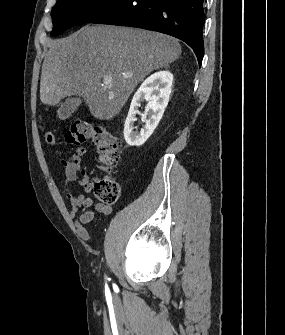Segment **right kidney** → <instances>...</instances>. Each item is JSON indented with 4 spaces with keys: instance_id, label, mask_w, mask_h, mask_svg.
<instances>
[{
    "instance_id": "obj_1",
    "label": "right kidney",
    "mask_w": 285,
    "mask_h": 335,
    "mask_svg": "<svg viewBox=\"0 0 285 335\" xmlns=\"http://www.w3.org/2000/svg\"><path fill=\"white\" fill-rule=\"evenodd\" d=\"M173 74L171 72H156L144 80L139 90L133 96L130 110L124 124V138L129 146H142L146 140L153 134L157 128L164 112L167 108L171 94ZM146 100V112L141 114L145 126L141 132H133L134 122H136L137 108H140L141 102Z\"/></svg>"
}]
</instances>
